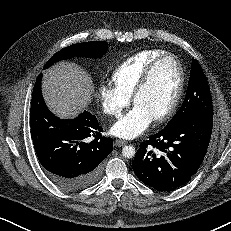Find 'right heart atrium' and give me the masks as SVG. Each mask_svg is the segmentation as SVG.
I'll return each instance as SVG.
<instances>
[{
  "label": "right heart atrium",
  "mask_w": 231,
  "mask_h": 231,
  "mask_svg": "<svg viewBox=\"0 0 231 231\" xmlns=\"http://www.w3.org/2000/svg\"><path fill=\"white\" fill-rule=\"evenodd\" d=\"M98 98L103 112L112 117H119L130 104V97L110 83H103L99 86Z\"/></svg>",
  "instance_id": "d8ad5b80"
}]
</instances>
